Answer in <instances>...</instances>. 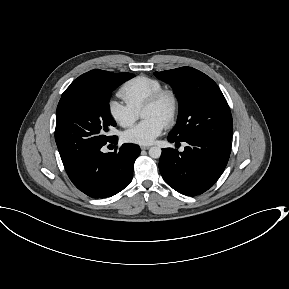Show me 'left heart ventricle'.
<instances>
[{
    "instance_id": "left-heart-ventricle-1",
    "label": "left heart ventricle",
    "mask_w": 289,
    "mask_h": 289,
    "mask_svg": "<svg viewBox=\"0 0 289 289\" xmlns=\"http://www.w3.org/2000/svg\"><path fill=\"white\" fill-rule=\"evenodd\" d=\"M170 102L167 98L163 99L158 105L142 109L141 115L144 119L156 117L165 122Z\"/></svg>"
}]
</instances>
